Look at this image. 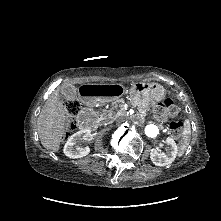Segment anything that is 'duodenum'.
Returning a JSON list of instances; mask_svg holds the SVG:
<instances>
[{
  "label": "duodenum",
  "instance_id": "1",
  "mask_svg": "<svg viewBox=\"0 0 221 221\" xmlns=\"http://www.w3.org/2000/svg\"><path fill=\"white\" fill-rule=\"evenodd\" d=\"M122 87L117 85H82L78 89V96L88 103L110 102L114 97L121 95ZM79 127L83 131H89L94 124V117L88 112H83L78 117Z\"/></svg>",
  "mask_w": 221,
  "mask_h": 221
}]
</instances>
